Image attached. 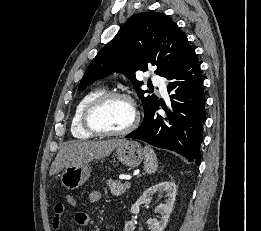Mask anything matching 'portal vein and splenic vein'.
Returning <instances> with one entry per match:
<instances>
[{"mask_svg": "<svg viewBox=\"0 0 261 231\" xmlns=\"http://www.w3.org/2000/svg\"><path fill=\"white\" fill-rule=\"evenodd\" d=\"M125 184H126V185H130V183H129V182H125Z\"/></svg>", "mask_w": 261, "mask_h": 231, "instance_id": "1", "label": "portal vein and splenic vein"}]
</instances>
